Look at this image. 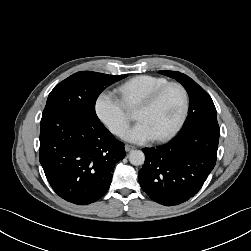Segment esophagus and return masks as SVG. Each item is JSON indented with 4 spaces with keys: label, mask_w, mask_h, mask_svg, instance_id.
<instances>
[{
    "label": "esophagus",
    "mask_w": 251,
    "mask_h": 251,
    "mask_svg": "<svg viewBox=\"0 0 251 251\" xmlns=\"http://www.w3.org/2000/svg\"><path fill=\"white\" fill-rule=\"evenodd\" d=\"M134 148H135V147L132 146V145H125V150H126L127 152L133 150Z\"/></svg>",
    "instance_id": "34e87169"
}]
</instances>
